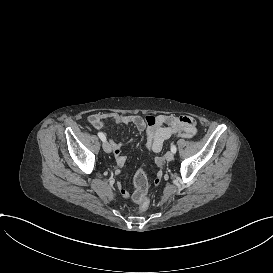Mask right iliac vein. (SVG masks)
<instances>
[{"label": "right iliac vein", "instance_id": "obj_1", "mask_svg": "<svg viewBox=\"0 0 273 273\" xmlns=\"http://www.w3.org/2000/svg\"><path fill=\"white\" fill-rule=\"evenodd\" d=\"M102 147H103V149H104V151H105L106 153H110L111 150H112V149H111V144H110L109 142H107V141L103 142Z\"/></svg>", "mask_w": 273, "mask_h": 273}]
</instances>
